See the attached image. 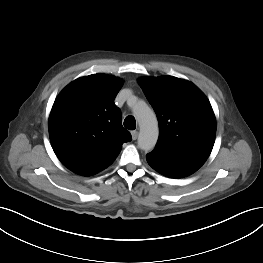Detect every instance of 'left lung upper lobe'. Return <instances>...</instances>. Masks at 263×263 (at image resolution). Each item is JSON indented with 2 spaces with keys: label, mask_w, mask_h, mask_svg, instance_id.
Segmentation results:
<instances>
[{
  "label": "left lung upper lobe",
  "mask_w": 263,
  "mask_h": 263,
  "mask_svg": "<svg viewBox=\"0 0 263 263\" xmlns=\"http://www.w3.org/2000/svg\"><path fill=\"white\" fill-rule=\"evenodd\" d=\"M138 82L157 114L160 134L155 150L208 158L215 141L216 119L202 91L171 76L144 77Z\"/></svg>",
  "instance_id": "left-lung-upper-lobe-1"
}]
</instances>
